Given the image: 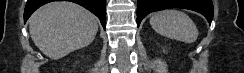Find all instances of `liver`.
<instances>
[{
  "instance_id": "obj_1",
  "label": "liver",
  "mask_w": 244,
  "mask_h": 73,
  "mask_svg": "<svg viewBox=\"0 0 244 73\" xmlns=\"http://www.w3.org/2000/svg\"><path fill=\"white\" fill-rule=\"evenodd\" d=\"M29 31L39 50L55 60L92 43L98 19L76 3L50 2L30 17Z\"/></svg>"
}]
</instances>
